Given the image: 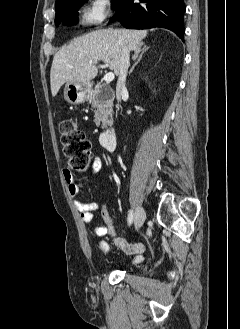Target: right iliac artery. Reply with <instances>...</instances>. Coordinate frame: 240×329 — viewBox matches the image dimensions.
I'll return each instance as SVG.
<instances>
[{
    "label": "right iliac artery",
    "mask_w": 240,
    "mask_h": 329,
    "mask_svg": "<svg viewBox=\"0 0 240 329\" xmlns=\"http://www.w3.org/2000/svg\"><path fill=\"white\" fill-rule=\"evenodd\" d=\"M133 216H134L133 211L129 210L127 213V220L129 225H131L133 222Z\"/></svg>",
    "instance_id": "obj_1"
}]
</instances>
